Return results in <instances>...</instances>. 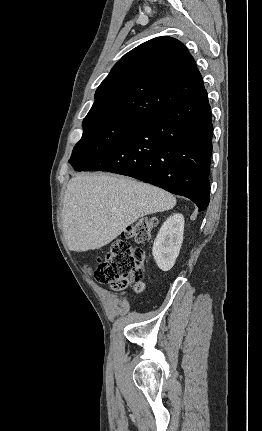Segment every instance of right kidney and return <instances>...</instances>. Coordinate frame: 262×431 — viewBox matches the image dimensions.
Here are the masks:
<instances>
[{"instance_id": "ca27d5eb", "label": "right kidney", "mask_w": 262, "mask_h": 431, "mask_svg": "<svg viewBox=\"0 0 262 431\" xmlns=\"http://www.w3.org/2000/svg\"><path fill=\"white\" fill-rule=\"evenodd\" d=\"M184 217L173 214L162 225L154 241L152 254L157 266L170 270L175 264L183 242Z\"/></svg>"}]
</instances>
